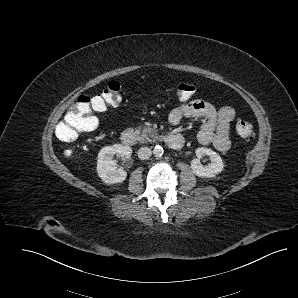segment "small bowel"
<instances>
[{
  "label": "small bowel",
  "instance_id": "1",
  "mask_svg": "<svg viewBox=\"0 0 298 298\" xmlns=\"http://www.w3.org/2000/svg\"><path fill=\"white\" fill-rule=\"evenodd\" d=\"M199 117L204 120L197 134L198 142L211 144L220 152L231 147L230 127L235 118V110L230 106L219 109L205 100L185 102L174 108L169 114V122L178 125L184 118Z\"/></svg>",
  "mask_w": 298,
  "mask_h": 298
}]
</instances>
